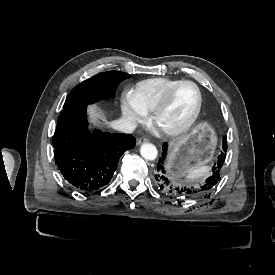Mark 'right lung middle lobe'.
<instances>
[{"label":"right lung middle lobe","instance_id":"obj_1","mask_svg":"<svg viewBox=\"0 0 275 275\" xmlns=\"http://www.w3.org/2000/svg\"><path fill=\"white\" fill-rule=\"evenodd\" d=\"M131 76L124 72H101L81 82L68 95L63 108L87 106L105 98L113 97L119 83Z\"/></svg>","mask_w":275,"mask_h":275}]
</instances>
